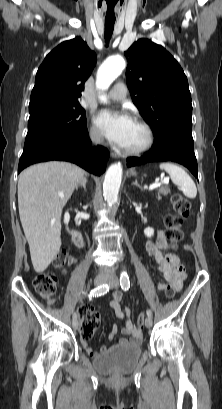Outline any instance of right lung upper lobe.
Wrapping results in <instances>:
<instances>
[{
  "label": "right lung upper lobe",
  "instance_id": "cb5924a9",
  "mask_svg": "<svg viewBox=\"0 0 222 409\" xmlns=\"http://www.w3.org/2000/svg\"><path fill=\"white\" fill-rule=\"evenodd\" d=\"M96 64V54L81 37L53 49L39 67L29 108L48 103L79 102L84 82Z\"/></svg>",
  "mask_w": 222,
  "mask_h": 409
}]
</instances>
